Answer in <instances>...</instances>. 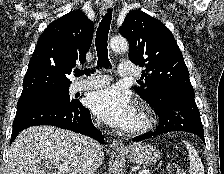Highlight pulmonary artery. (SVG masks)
<instances>
[{
	"label": "pulmonary artery",
	"instance_id": "1",
	"mask_svg": "<svg viewBox=\"0 0 224 174\" xmlns=\"http://www.w3.org/2000/svg\"><path fill=\"white\" fill-rule=\"evenodd\" d=\"M118 72L120 76L122 77H132L137 76L139 74V70L137 66H135L131 62H122L119 65ZM109 83V78L104 75H94L91 77H88L85 80L76 82L72 89L75 92L90 89V88H97L106 85Z\"/></svg>",
	"mask_w": 224,
	"mask_h": 174
}]
</instances>
